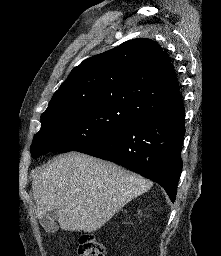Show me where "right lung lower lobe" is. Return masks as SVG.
Here are the masks:
<instances>
[{
    "instance_id": "98d812e1",
    "label": "right lung lower lobe",
    "mask_w": 221,
    "mask_h": 256,
    "mask_svg": "<svg viewBox=\"0 0 221 256\" xmlns=\"http://www.w3.org/2000/svg\"><path fill=\"white\" fill-rule=\"evenodd\" d=\"M183 103L128 122L78 152L112 161L160 184L172 202L182 171Z\"/></svg>"
}]
</instances>
